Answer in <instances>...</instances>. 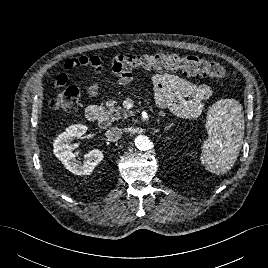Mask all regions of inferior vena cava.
<instances>
[{"label": "inferior vena cava", "mask_w": 268, "mask_h": 268, "mask_svg": "<svg viewBox=\"0 0 268 268\" xmlns=\"http://www.w3.org/2000/svg\"><path fill=\"white\" fill-rule=\"evenodd\" d=\"M122 133V129L118 127H111L106 131L105 136L108 140L115 142L121 138Z\"/></svg>", "instance_id": "602c4592"}]
</instances>
